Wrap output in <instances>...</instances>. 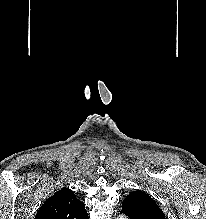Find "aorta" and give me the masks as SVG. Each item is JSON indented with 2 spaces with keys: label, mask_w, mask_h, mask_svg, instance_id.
I'll return each mask as SVG.
<instances>
[{
  "label": "aorta",
  "mask_w": 206,
  "mask_h": 219,
  "mask_svg": "<svg viewBox=\"0 0 206 219\" xmlns=\"http://www.w3.org/2000/svg\"><path fill=\"white\" fill-rule=\"evenodd\" d=\"M118 219H127V218L124 216H120Z\"/></svg>",
  "instance_id": "obj_1"
}]
</instances>
